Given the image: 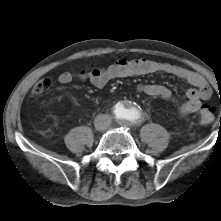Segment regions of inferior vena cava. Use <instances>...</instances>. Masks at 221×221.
Returning a JSON list of instances; mask_svg holds the SVG:
<instances>
[{"instance_id":"602c4592","label":"inferior vena cava","mask_w":221,"mask_h":221,"mask_svg":"<svg viewBox=\"0 0 221 221\" xmlns=\"http://www.w3.org/2000/svg\"><path fill=\"white\" fill-rule=\"evenodd\" d=\"M111 118L107 114H99L96 116L94 125L97 130H105L109 127Z\"/></svg>"}]
</instances>
